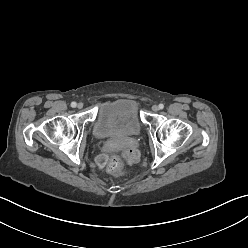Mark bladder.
<instances>
[{
    "label": "bladder",
    "mask_w": 248,
    "mask_h": 248,
    "mask_svg": "<svg viewBox=\"0 0 248 248\" xmlns=\"http://www.w3.org/2000/svg\"><path fill=\"white\" fill-rule=\"evenodd\" d=\"M142 122L134 101L118 98L102 102L93 123V135L98 139L119 138L140 132Z\"/></svg>",
    "instance_id": "bladder-1"
}]
</instances>
